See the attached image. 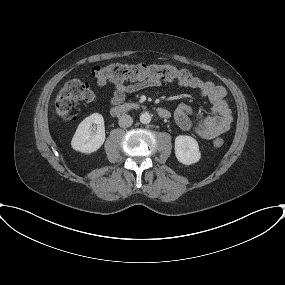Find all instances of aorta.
Returning <instances> with one entry per match:
<instances>
[{
    "label": "aorta",
    "mask_w": 285,
    "mask_h": 285,
    "mask_svg": "<svg viewBox=\"0 0 285 285\" xmlns=\"http://www.w3.org/2000/svg\"><path fill=\"white\" fill-rule=\"evenodd\" d=\"M152 116L148 112H144L140 115V122L142 124H149Z\"/></svg>",
    "instance_id": "762f6f07"
}]
</instances>
